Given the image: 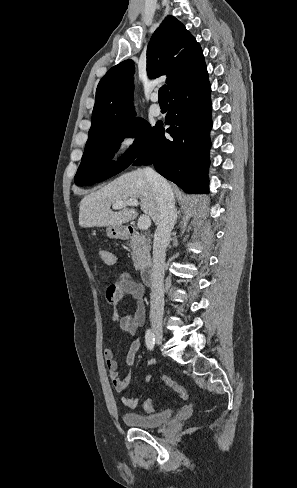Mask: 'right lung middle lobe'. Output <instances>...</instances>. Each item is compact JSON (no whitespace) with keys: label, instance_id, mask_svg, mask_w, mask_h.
<instances>
[{"label":"right lung middle lobe","instance_id":"dd1d6c3e","mask_svg":"<svg viewBox=\"0 0 297 488\" xmlns=\"http://www.w3.org/2000/svg\"><path fill=\"white\" fill-rule=\"evenodd\" d=\"M140 118L130 123L111 129L99 130L94 136L88 137L82 162L77 170L74 182L78 186L92 185L108 179L131 165L149 145L156 133ZM137 137L128 149L125 157L113 162V154L118 150L119 143L125 137Z\"/></svg>","mask_w":297,"mask_h":488}]
</instances>
